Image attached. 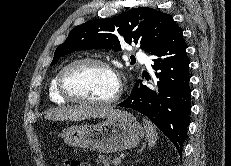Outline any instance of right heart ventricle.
Returning a JSON list of instances; mask_svg holds the SVG:
<instances>
[{
  "label": "right heart ventricle",
  "instance_id": "e07e8e85",
  "mask_svg": "<svg viewBox=\"0 0 231 166\" xmlns=\"http://www.w3.org/2000/svg\"><path fill=\"white\" fill-rule=\"evenodd\" d=\"M58 74L55 75V77L52 79L50 86H49V98L51 101L61 104L64 103L66 101V99H64L58 92L57 89V78H58Z\"/></svg>",
  "mask_w": 231,
  "mask_h": 166
}]
</instances>
